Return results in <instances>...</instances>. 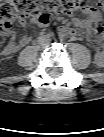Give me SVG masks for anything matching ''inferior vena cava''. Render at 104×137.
Here are the masks:
<instances>
[{
  "label": "inferior vena cava",
  "mask_w": 104,
  "mask_h": 137,
  "mask_svg": "<svg viewBox=\"0 0 104 137\" xmlns=\"http://www.w3.org/2000/svg\"><path fill=\"white\" fill-rule=\"evenodd\" d=\"M38 43H39L41 46H46V45H48V43H49V38H48L46 35H41V36L38 38Z\"/></svg>",
  "instance_id": "1"
}]
</instances>
